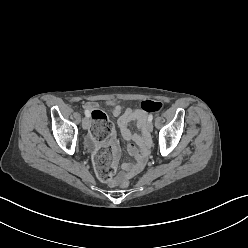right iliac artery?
I'll return each instance as SVG.
<instances>
[{
    "mask_svg": "<svg viewBox=\"0 0 248 248\" xmlns=\"http://www.w3.org/2000/svg\"><path fill=\"white\" fill-rule=\"evenodd\" d=\"M85 115L86 117H90V113L87 110H85Z\"/></svg>",
    "mask_w": 248,
    "mask_h": 248,
    "instance_id": "82829eb1",
    "label": "right iliac artery"
}]
</instances>
